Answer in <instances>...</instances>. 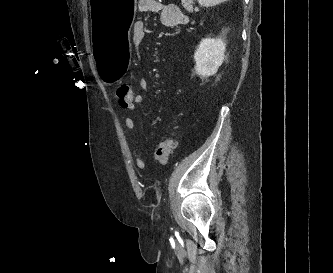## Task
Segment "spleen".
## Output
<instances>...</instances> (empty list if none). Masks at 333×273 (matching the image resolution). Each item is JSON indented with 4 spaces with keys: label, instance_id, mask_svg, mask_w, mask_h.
I'll list each match as a JSON object with an SVG mask.
<instances>
[{
    "label": "spleen",
    "instance_id": "obj_1",
    "mask_svg": "<svg viewBox=\"0 0 333 273\" xmlns=\"http://www.w3.org/2000/svg\"><path fill=\"white\" fill-rule=\"evenodd\" d=\"M226 1L228 0H198V3L204 7H211Z\"/></svg>",
    "mask_w": 333,
    "mask_h": 273
}]
</instances>
